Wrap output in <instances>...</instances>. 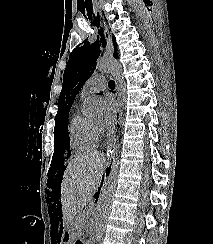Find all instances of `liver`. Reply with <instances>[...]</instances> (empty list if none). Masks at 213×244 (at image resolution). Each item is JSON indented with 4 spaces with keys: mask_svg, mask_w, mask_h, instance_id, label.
<instances>
[{
    "mask_svg": "<svg viewBox=\"0 0 213 244\" xmlns=\"http://www.w3.org/2000/svg\"><path fill=\"white\" fill-rule=\"evenodd\" d=\"M105 156L99 152L76 156L67 166L61 183V204L63 221L68 231H72V220L91 200L102 179Z\"/></svg>",
    "mask_w": 213,
    "mask_h": 244,
    "instance_id": "liver-1",
    "label": "liver"
}]
</instances>
